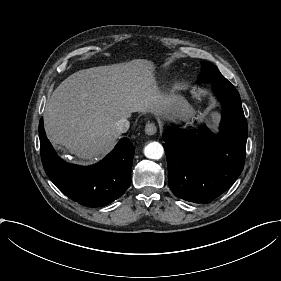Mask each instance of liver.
I'll list each match as a JSON object with an SVG mask.
<instances>
[{
    "mask_svg": "<svg viewBox=\"0 0 281 281\" xmlns=\"http://www.w3.org/2000/svg\"><path fill=\"white\" fill-rule=\"evenodd\" d=\"M155 66L146 59L79 70L53 91L44 125L53 145H63L82 161L105 156L121 133L115 123L133 112L165 118L188 101L157 86Z\"/></svg>",
    "mask_w": 281,
    "mask_h": 281,
    "instance_id": "obj_1",
    "label": "liver"
}]
</instances>
